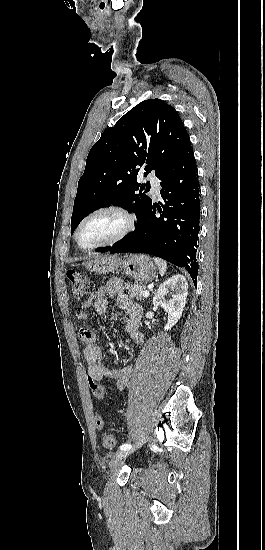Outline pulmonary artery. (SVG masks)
Instances as JSON below:
<instances>
[{
	"instance_id": "e3ab8cb5",
	"label": "pulmonary artery",
	"mask_w": 265,
	"mask_h": 550,
	"mask_svg": "<svg viewBox=\"0 0 265 550\" xmlns=\"http://www.w3.org/2000/svg\"><path fill=\"white\" fill-rule=\"evenodd\" d=\"M151 183V192L153 196H159L160 194V182L159 179L152 173L148 176Z\"/></svg>"
}]
</instances>
